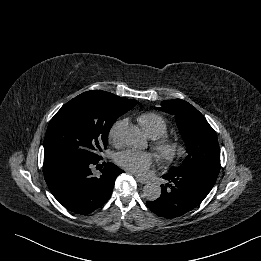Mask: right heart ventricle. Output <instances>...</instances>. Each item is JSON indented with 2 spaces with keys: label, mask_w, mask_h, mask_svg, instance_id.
I'll use <instances>...</instances> for the list:
<instances>
[{
  "label": "right heart ventricle",
  "mask_w": 261,
  "mask_h": 261,
  "mask_svg": "<svg viewBox=\"0 0 261 261\" xmlns=\"http://www.w3.org/2000/svg\"><path fill=\"white\" fill-rule=\"evenodd\" d=\"M137 120L147 136L152 139H158L167 132L166 120L157 113H143Z\"/></svg>",
  "instance_id": "e07e8e85"
}]
</instances>
